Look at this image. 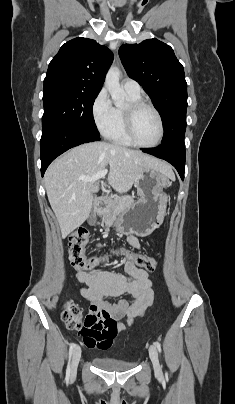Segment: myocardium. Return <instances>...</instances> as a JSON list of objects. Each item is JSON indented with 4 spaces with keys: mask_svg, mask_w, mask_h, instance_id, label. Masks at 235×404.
Segmentation results:
<instances>
[{
    "mask_svg": "<svg viewBox=\"0 0 235 404\" xmlns=\"http://www.w3.org/2000/svg\"><path fill=\"white\" fill-rule=\"evenodd\" d=\"M142 109L151 110L158 119L159 136H158V139L154 143H151V144L140 143L136 139V136L134 133L135 117H136L137 113L139 111H141ZM123 115H124L125 133L133 145H135L137 147H141V148H153V147L158 146L161 143V141L164 137V132H165L164 122H163L160 112L152 104L147 103L142 100L129 102V104L123 109Z\"/></svg>",
    "mask_w": 235,
    "mask_h": 404,
    "instance_id": "f54148a6",
    "label": "myocardium"
}]
</instances>
